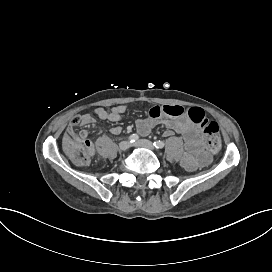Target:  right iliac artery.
I'll use <instances>...</instances> for the list:
<instances>
[{"mask_svg":"<svg viewBox=\"0 0 272 272\" xmlns=\"http://www.w3.org/2000/svg\"><path fill=\"white\" fill-rule=\"evenodd\" d=\"M138 139H139L138 134H131V135L129 136V138H128V140H129L131 143L136 142Z\"/></svg>","mask_w":272,"mask_h":272,"instance_id":"1","label":"right iliac artery"}]
</instances>
